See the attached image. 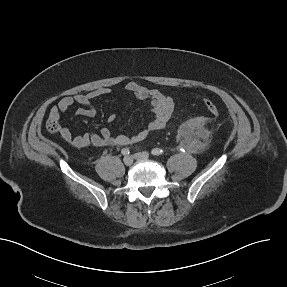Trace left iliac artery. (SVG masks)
<instances>
[{
	"label": "left iliac artery",
	"mask_w": 287,
	"mask_h": 287,
	"mask_svg": "<svg viewBox=\"0 0 287 287\" xmlns=\"http://www.w3.org/2000/svg\"><path fill=\"white\" fill-rule=\"evenodd\" d=\"M164 153V151L160 148H154L152 151H151V154L154 155V156H159V155H162Z\"/></svg>",
	"instance_id": "obj_1"
}]
</instances>
